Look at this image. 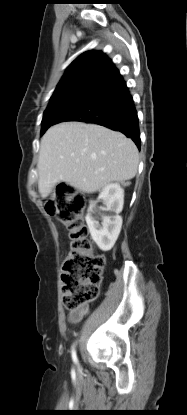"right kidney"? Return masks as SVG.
I'll return each mask as SVG.
<instances>
[{"mask_svg": "<svg viewBox=\"0 0 187 415\" xmlns=\"http://www.w3.org/2000/svg\"><path fill=\"white\" fill-rule=\"evenodd\" d=\"M98 200L105 207L92 204L88 209L86 222L97 246L108 251L114 246L121 231L122 217L119 213L123 209L124 190L117 183L108 184L99 194ZM99 220L102 221L101 224Z\"/></svg>", "mask_w": 187, "mask_h": 415, "instance_id": "1", "label": "right kidney"}]
</instances>
